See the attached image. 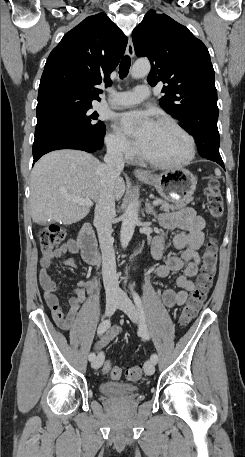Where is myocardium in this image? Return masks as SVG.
Wrapping results in <instances>:
<instances>
[{
	"instance_id": "obj_1",
	"label": "myocardium",
	"mask_w": 245,
	"mask_h": 457,
	"mask_svg": "<svg viewBox=\"0 0 245 457\" xmlns=\"http://www.w3.org/2000/svg\"><path fill=\"white\" fill-rule=\"evenodd\" d=\"M158 127H164L171 129L177 133H179L186 141V146H185V154L182 158L178 160H172V159H156L151 156H148L146 154H142L143 160L148 162L149 164L160 167V168H180L185 165H187L193 158L194 156V140L192 136L186 132L182 127H180L177 123L164 119L160 121Z\"/></svg>"
}]
</instances>
